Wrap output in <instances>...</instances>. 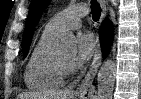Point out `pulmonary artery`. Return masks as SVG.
Listing matches in <instances>:
<instances>
[{"mask_svg":"<svg viewBox=\"0 0 141 99\" xmlns=\"http://www.w3.org/2000/svg\"><path fill=\"white\" fill-rule=\"evenodd\" d=\"M86 14L87 8L84 5L68 7L51 18L44 30L59 35L68 29L78 28L81 26V18Z\"/></svg>","mask_w":141,"mask_h":99,"instance_id":"obj_1","label":"pulmonary artery"}]
</instances>
